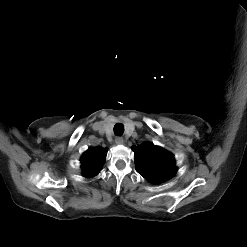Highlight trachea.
I'll return each instance as SVG.
<instances>
[{
  "instance_id": "trachea-1",
  "label": "trachea",
  "mask_w": 247,
  "mask_h": 247,
  "mask_svg": "<svg viewBox=\"0 0 247 247\" xmlns=\"http://www.w3.org/2000/svg\"><path fill=\"white\" fill-rule=\"evenodd\" d=\"M114 133L121 136L124 133V126L121 123H117L114 126Z\"/></svg>"
}]
</instances>
